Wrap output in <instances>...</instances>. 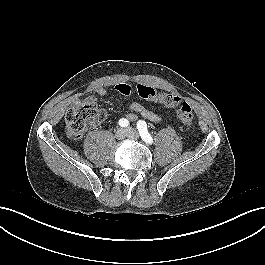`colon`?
Segmentation results:
<instances>
[{
  "instance_id": "1",
  "label": "colon",
  "mask_w": 265,
  "mask_h": 265,
  "mask_svg": "<svg viewBox=\"0 0 265 265\" xmlns=\"http://www.w3.org/2000/svg\"><path fill=\"white\" fill-rule=\"evenodd\" d=\"M137 95L146 100L163 101L177 109V115L181 123L186 127H191L194 122V115L190 104L181 101L180 97L169 93L164 94L154 88L138 84L136 86ZM105 117V111L94 102H86L80 106L71 108L66 113V133L71 140L82 138L86 130L91 126L99 123Z\"/></svg>"
}]
</instances>
